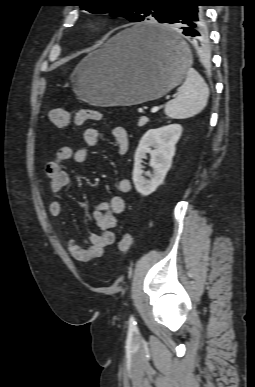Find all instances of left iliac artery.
Listing matches in <instances>:
<instances>
[{
  "label": "left iliac artery",
  "mask_w": 255,
  "mask_h": 387,
  "mask_svg": "<svg viewBox=\"0 0 255 387\" xmlns=\"http://www.w3.org/2000/svg\"><path fill=\"white\" fill-rule=\"evenodd\" d=\"M129 327L132 328V329H135L136 328V321H135V318L133 315L130 316V319H129Z\"/></svg>",
  "instance_id": "obj_1"
}]
</instances>
